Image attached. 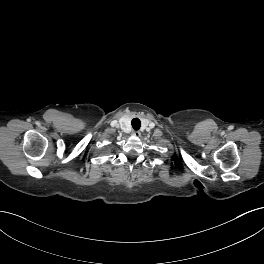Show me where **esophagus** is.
Masks as SVG:
<instances>
[{"instance_id":"esophagus-1","label":"esophagus","mask_w":264,"mask_h":264,"mask_svg":"<svg viewBox=\"0 0 264 264\" xmlns=\"http://www.w3.org/2000/svg\"><path fill=\"white\" fill-rule=\"evenodd\" d=\"M132 136L139 137L140 136V132L139 131H133L132 132Z\"/></svg>"}]
</instances>
